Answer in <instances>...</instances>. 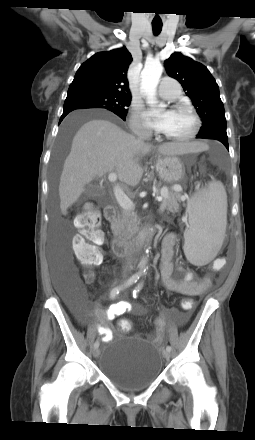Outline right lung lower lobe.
Listing matches in <instances>:
<instances>
[{"instance_id":"1","label":"right lung lower lobe","mask_w":255,"mask_h":440,"mask_svg":"<svg viewBox=\"0 0 255 440\" xmlns=\"http://www.w3.org/2000/svg\"><path fill=\"white\" fill-rule=\"evenodd\" d=\"M73 110H75V109H74V108L64 109L63 114H62V116H61V118H60V122L63 120V118H64L69 112H71V111H73ZM123 120H125V118H124Z\"/></svg>"}]
</instances>
